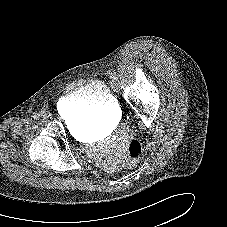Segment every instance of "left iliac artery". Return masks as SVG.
<instances>
[{"mask_svg":"<svg viewBox=\"0 0 227 227\" xmlns=\"http://www.w3.org/2000/svg\"><path fill=\"white\" fill-rule=\"evenodd\" d=\"M113 80H117V75L115 73H111V76H110Z\"/></svg>","mask_w":227,"mask_h":227,"instance_id":"left-iliac-artery-1","label":"left iliac artery"}]
</instances>
